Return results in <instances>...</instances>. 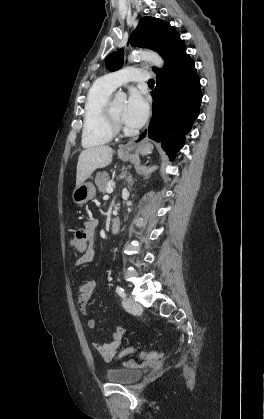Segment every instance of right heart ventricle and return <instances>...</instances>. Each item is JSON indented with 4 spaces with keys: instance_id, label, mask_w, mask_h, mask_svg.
Here are the masks:
<instances>
[{
    "instance_id": "1",
    "label": "right heart ventricle",
    "mask_w": 264,
    "mask_h": 419,
    "mask_svg": "<svg viewBox=\"0 0 264 419\" xmlns=\"http://www.w3.org/2000/svg\"><path fill=\"white\" fill-rule=\"evenodd\" d=\"M113 91L99 80L87 93L82 131V145L85 148L107 144L114 136L106 112V106Z\"/></svg>"
}]
</instances>
